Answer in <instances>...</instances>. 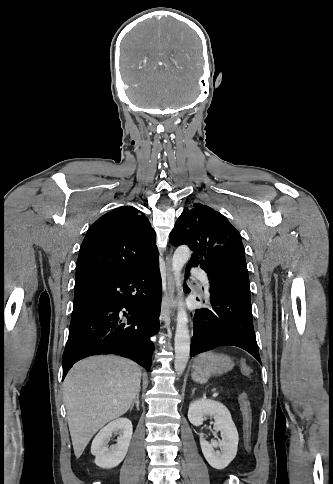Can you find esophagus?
<instances>
[{
  "instance_id": "1",
  "label": "esophagus",
  "mask_w": 333,
  "mask_h": 484,
  "mask_svg": "<svg viewBox=\"0 0 333 484\" xmlns=\"http://www.w3.org/2000/svg\"><path fill=\"white\" fill-rule=\"evenodd\" d=\"M175 305V295H174V283L172 274L170 271V259L167 270V295L164 297L161 308V315L163 320L167 323L170 321L172 314V308Z\"/></svg>"
}]
</instances>
